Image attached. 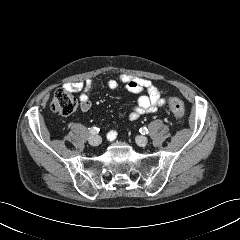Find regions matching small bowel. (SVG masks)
<instances>
[{"label":"small bowel","mask_w":240,"mask_h":240,"mask_svg":"<svg viewBox=\"0 0 240 240\" xmlns=\"http://www.w3.org/2000/svg\"><path fill=\"white\" fill-rule=\"evenodd\" d=\"M107 85L112 90H125L139 95L137 104L134 105L128 114L130 121H136L140 116L155 112L158 107L165 104L166 100L162 96V92L148 79L120 75L117 79H109ZM69 91L78 92L80 94V106L83 112H87L91 108L90 96L97 87L94 79H87L84 82H74L67 84ZM117 136L115 130L108 133V139L114 140Z\"/></svg>","instance_id":"1"}]
</instances>
